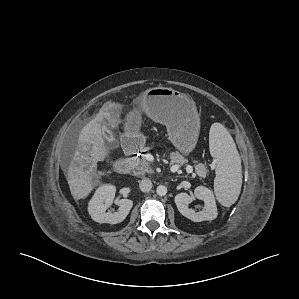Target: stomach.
<instances>
[{"mask_svg": "<svg viewBox=\"0 0 299 299\" xmlns=\"http://www.w3.org/2000/svg\"><path fill=\"white\" fill-rule=\"evenodd\" d=\"M142 113L166 126L169 140L181 153L188 155L194 150L200 117L195 102L186 94L162 86L147 89L127 115L126 120L132 128L137 127Z\"/></svg>", "mask_w": 299, "mask_h": 299, "instance_id": "1", "label": "stomach"}]
</instances>
